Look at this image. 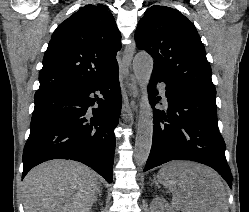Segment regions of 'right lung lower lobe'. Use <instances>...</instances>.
Here are the masks:
<instances>
[{
  "mask_svg": "<svg viewBox=\"0 0 249 212\" xmlns=\"http://www.w3.org/2000/svg\"><path fill=\"white\" fill-rule=\"evenodd\" d=\"M96 91L102 96L93 95ZM34 102L22 178L34 166L61 158L82 162L112 183L114 129L121 110L118 68L95 83L35 96ZM93 105L98 108L91 113Z\"/></svg>",
  "mask_w": 249,
  "mask_h": 212,
  "instance_id": "obj_1",
  "label": "right lung lower lobe"
}]
</instances>
